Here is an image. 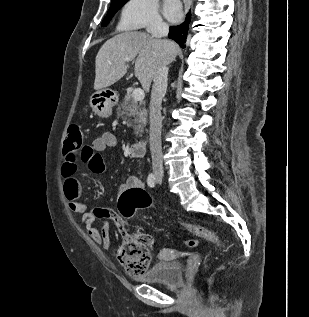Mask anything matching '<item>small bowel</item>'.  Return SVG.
Returning a JSON list of instances; mask_svg holds the SVG:
<instances>
[{
  "mask_svg": "<svg viewBox=\"0 0 309 317\" xmlns=\"http://www.w3.org/2000/svg\"><path fill=\"white\" fill-rule=\"evenodd\" d=\"M118 144L116 136L112 132H105L96 138L90 146H87V152L81 157L82 161L87 164L88 169L97 175H104L106 167L102 153L109 148H114ZM62 177L64 194L68 201L69 208L72 212L81 215L80 222L84 226L86 233L98 245H102L105 250L111 247V238L109 234L108 220H111L119 232L124 235L127 232L125 220L115 211L97 207L89 210L84 202L81 201L82 189L77 179L76 161L65 160L62 165ZM144 189V183L137 176L129 177L121 184L119 191L123 194L129 189ZM101 221V227L95 226V221Z\"/></svg>",
  "mask_w": 309,
  "mask_h": 317,
  "instance_id": "obj_1",
  "label": "small bowel"
}]
</instances>
